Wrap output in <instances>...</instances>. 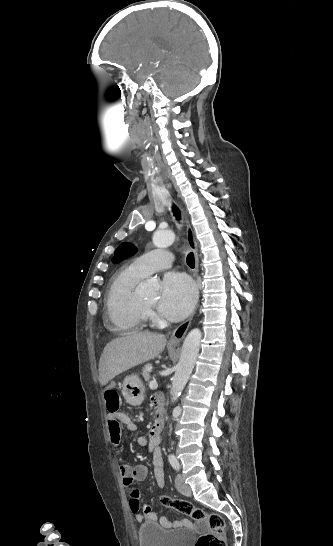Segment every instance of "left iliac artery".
<instances>
[{
  "label": "left iliac artery",
  "mask_w": 333,
  "mask_h": 546,
  "mask_svg": "<svg viewBox=\"0 0 333 546\" xmlns=\"http://www.w3.org/2000/svg\"><path fill=\"white\" fill-rule=\"evenodd\" d=\"M168 459H169V462H170L171 466H172L175 470L178 471L179 468H180V465H179V462H178L177 458H176L173 454H171V455H169V458H168Z\"/></svg>",
  "instance_id": "1"
}]
</instances>
